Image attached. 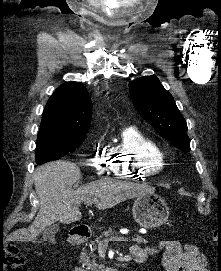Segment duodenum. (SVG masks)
Returning <instances> with one entry per match:
<instances>
[{"label": "duodenum", "instance_id": "410a0bca", "mask_svg": "<svg viewBox=\"0 0 221 271\" xmlns=\"http://www.w3.org/2000/svg\"><path fill=\"white\" fill-rule=\"evenodd\" d=\"M89 237H90L89 230H82V229L73 230L70 235V242L73 245H81V244L86 243L88 241ZM135 260L138 263H141L145 259L143 257L142 258L140 257V258H136ZM75 271H85V270L81 267H75ZM102 271H119V270L117 267L110 266V267L104 268Z\"/></svg>", "mask_w": 221, "mask_h": 271}]
</instances>
